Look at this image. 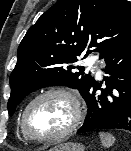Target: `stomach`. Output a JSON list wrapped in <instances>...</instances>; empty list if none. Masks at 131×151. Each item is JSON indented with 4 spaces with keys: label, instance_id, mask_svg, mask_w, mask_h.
<instances>
[{
    "label": "stomach",
    "instance_id": "obj_1",
    "mask_svg": "<svg viewBox=\"0 0 131 151\" xmlns=\"http://www.w3.org/2000/svg\"><path fill=\"white\" fill-rule=\"evenodd\" d=\"M48 151H85V146L81 143H63L59 144Z\"/></svg>",
    "mask_w": 131,
    "mask_h": 151
}]
</instances>
